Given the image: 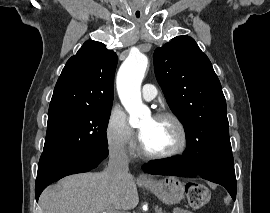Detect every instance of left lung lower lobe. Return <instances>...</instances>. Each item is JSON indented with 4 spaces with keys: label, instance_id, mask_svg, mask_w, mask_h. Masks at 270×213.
Wrapping results in <instances>:
<instances>
[{
    "label": "left lung lower lobe",
    "instance_id": "obj_1",
    "mask_svg": "<svg viewBox=\"0 0 270 213\" xmlns=\"http://www.w3.org/2000/svg\"><path fill=\"white\" fill-rule=\"evenodd\" d=\"M145 172L159 175L182 177L200 176L226 188L233 200L236 198V177L233 160L214 163L202 162L195 150L187 143V150L182 156L150 161L145 164Z\"/></svg>",
    "mask_w": 270,
    "mask_h": 213
}]
</instances>
